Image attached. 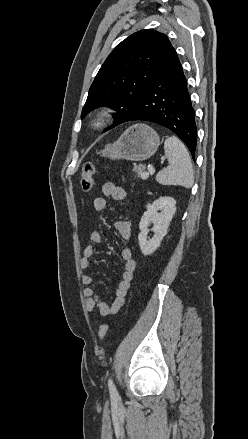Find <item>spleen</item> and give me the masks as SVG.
Wrapping results in <instances>:
<instances>
[{
	"label": "spleen",
	"instance_id": "spleen-1",
	"mask_svg": "<svg viewBox=\"0 0 248 439\" xmlns=\"http://www.w3.org/2000/svg\"><path fill=\"white\" fill-rule=\"evenodd\" d=\"M165 155L169 165L156 175L162 185H179L187 189L194 184V176L190 155L185 145L175 136L164 142Z\"/></svg>",
	"mask_w": 248,
	"mask_h": 439
}]
</instances>
